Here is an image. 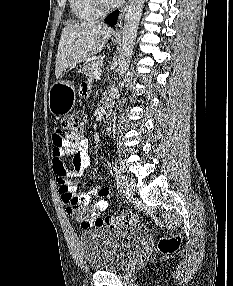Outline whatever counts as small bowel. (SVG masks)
<instances>
[{
	"mask_svg": "<svg viewBox=\"0 0 233 286\" xmlns=\"http://www.w3.org/2000/svg\"><path fill=\"white\" fill-rule=\"evenodd\" d=\"M90 85L84 84L80 94L83 97L89 95ZM52 168L59 186V194L64 204L67 205V198L78 197L83 206L91 205L93 198H98L91 206L96 212L106 209L108 202L106 198L110 190L104 185H95L82 194L77 193L78 181L69 177H79L89 166L88 142L83 136H61L57 130L52 136ZM71 156L72 169H69L65 157ZM68 211V210H67ZM68 213H70L68 211ZM82 227H88L78 220Z\"/></svg>",
	"mask_w": 233,
	"mask_h": 286,
	"instance_id": "small-bowel-1",
	"label": "small bowel"
}]
</instances>
